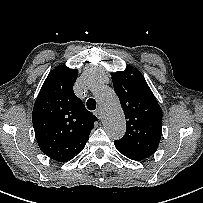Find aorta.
<instances>
[{"mask_svg":"<svg viewBox=\"0 0 203 203\" xmlns=\"http://www.w3.org/2000/svg\"><path fill=\"white\" fill-rule=\"evenodd\" d=\"M88 87L98 101L107 134L112 139L122 138L126 131V119L115 92L96 78L89 80Z\"/></svg>","mask_w":203,"mask_h":203,"instance_id":"obj_1","label":"aorta"}]
</instances>
